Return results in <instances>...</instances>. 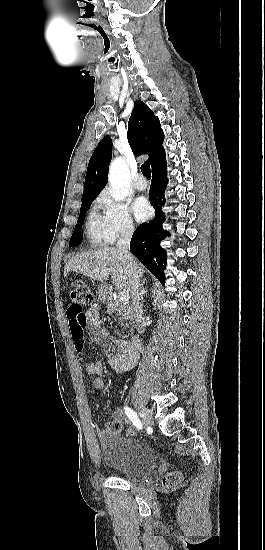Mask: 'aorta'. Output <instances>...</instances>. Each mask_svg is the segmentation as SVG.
I'll return each instance as SVG.
<instances>
[{
    "label": "aorta",
    "mask_w": 265,
    "mask_h": 550,
    "mask_svg": "<svg viewBox=\"0 0 265 550\" xmlns=\"http://www.w3.org/2000/svg\"><path fill=\"white\" fill-rule=\"evenodd\" d=\"M109 181L112 198L116 201L124 200L129 192L131 178L129 168L121 157L116 158L111 163Z\"/></svg>",
    "instance_id": "aorta-1"
}]
</instances>
